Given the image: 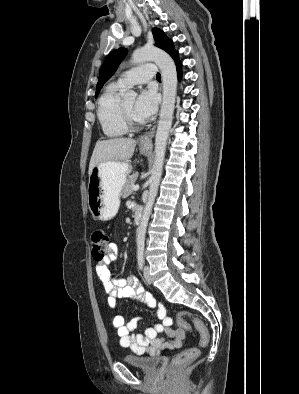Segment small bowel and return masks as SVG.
Returning a JSON list of instances; mask_svg holds the SVG:
<instances>
[{
	"label": "small bowel",
	"instance_id": "small-bowel-1",
	"mask_svg": "<svg viewBox=\"0 0 299 394\" xmlns=\"http://www.w3.org/2000/svg\"><path fill=\"white\" fill-rule=\"evenodd\" d=\"M118 255V247L112 243L104 259L96 264V273L108 294V304L114 309L120 298L137 299L148 307L156 310L161 322L148 327L144 333L135 334L134 330L141 321L140 317L133 318L125 323L122 315H116L113 326L120 338V345L129 348L136 354L158 355L169 349L179 348L185 338V329L179 324L173 325L172 319L167 315L165 306L153 294L144 290L139 280L134 276L121 277L113 274L109 265ZM162 334V336H160Z\"/></svg>",
	"mask_w": 299,
	"mask_h": 394
}]
</instances>
